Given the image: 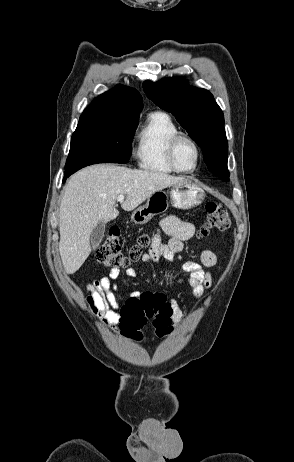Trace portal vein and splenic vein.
<instances>
[{
	"label": "portal vein and splenic vein",
	"instance_id": "18ae733b",
	"mask_svg": "<svg viewBox=\"0 0 294 462\" xmlns=\"http://www.w3.org/2000/svg\"><path fill=\"white\" fill-rule=\"evenodd\" d=\"M124 200V195H119L117 201L122 202Z\"/></svg>",
	"mask_w": 294,
	"mask_h": 462
}]
</instances>
